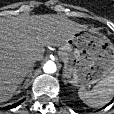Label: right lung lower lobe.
Here are the masks:
<instances>
[{"label": "right lung lower lobe", "mask_w": 114, "mask_h": 114, "mask_svg": "<svg viewBox=\"0 0 114 114\" xmlns=\"http://www.w3.org/2000/svg\"><path fill=\"white\" fill-rule=\"evenodd\" d=\"M21 102H22V101H20V102H18V103H15V104H13V105H9V106H7V107H5V108H7V109L14 108V107L18 106Z\"/></svg>", "instance_id": "98d812e1"}]
</instances>
